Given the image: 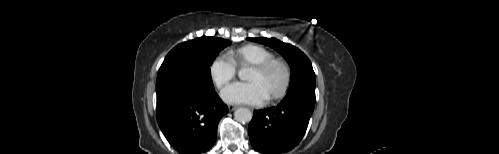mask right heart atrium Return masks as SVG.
I'll list each match as a JSON object with an SVG mask.
<instances>
[{
    "label": "right heart atrium",
    "instance_id": "d8ad5b80",
    "mask_svg": "<svg viewBox=\"0 0 499 154\" xmlns=\"http://www.w3.org/2000/svg\"><path fill=\"white\" fill-rule=\"evenodd\" d=\"M237 73L236 65L225 55L215 57L209 65V76L217 88L228 84Z\"/></svg>",
    "mask_w": 499,
    "mask_h": 154
}]
</instances>
